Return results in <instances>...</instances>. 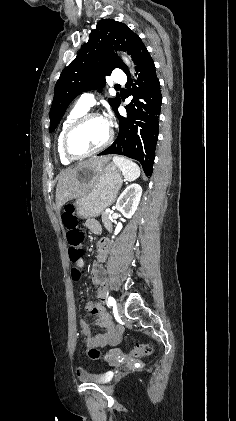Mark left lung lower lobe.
<instances>
[{
    "instance_id": "left-lung-lower-lobe-1",
    "label": "left lung lower lobe",
    "mask_w": 236,
    "mask_h": 421,
    "mask_svg": "<svg viewBox=\"0 0 236 421\" xmlns=\"http://www.w3.org/2000/svg\"><path fill=\"white\" fill-rule=\"evenodd\" d=\"M133 60L138 78L135 82L134 99L127 106V117L115 111L119 118V134L115 142L98 155L119 154L138 160L146 175L151 176L159 134V115L162 95L154 61L144 44L137 49ZM127 88L132 82L129 71ZM131 92V89H130Z\"/></svg>"
}]
</instances>
